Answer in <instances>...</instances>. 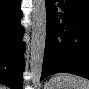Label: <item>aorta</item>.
<instances>
[{
	"mask_svg": "<svg viewBox=\"0 0 89 89\" xmlns=\"http://www.w3.org/2000/svg\"><path fill=\"white\" fill-rule=\"evenodd\" d=\"M32 32L30 43V71L34 87L40 86L45 40H46V5L45 0H33Z\"/></svg>",
	"mask_w": 89,
	"mask_h": 89,
	"instance_id": "aorta-1",
	"label": "aorta"
}]
</instances>
